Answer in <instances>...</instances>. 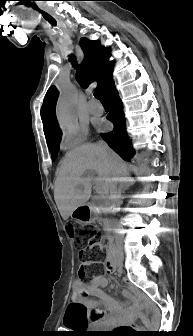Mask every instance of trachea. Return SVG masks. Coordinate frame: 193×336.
<instances>
[{
    "label": "trachea",
    "instance_id": "trachea-1",
    "mask_svg": "<svg viewBox=\"0 0 193 336\" xmlns=\"http://www.w3.org/2000/svg\"><path fill=\"white\" fill-rule=\"evenodd\" d=\"M70 60L73 62V65L78 68V66L75 63V58L71 57ZM94 96L95 98H97L98 100H100L102 103H107V100L105 99V97L103 96L102 92L99 89H96L94 91Z\"/></svg>",
    "mask_w": 193,
    "mask_h": 336
}]
</instances>
